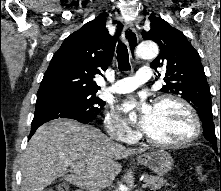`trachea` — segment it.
<instances>
[{"instance_id":"3493384b","label":"trachea","mask_w":221,"mask_h":191,"mask_svg":"<svg viewBox=\"0 0 221 191\" xmlns=\"http://www.w3.org/2000/svg\"><path fill=\"white\" fill-rule=\"evenodd\" d=\"M117 60L120 71H128L131 69L129 64L128 49L123 42H119L117 45Z\"/></svg>"}]
</instances>
